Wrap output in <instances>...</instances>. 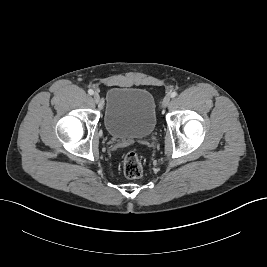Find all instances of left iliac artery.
<instances>
[{"instance_id":"obj_1","label":"left iliac artery","mask_w":267,"mask_h":267,"mask_svg":"<svg viewBox=\"0 0 267 267\" xmlns=\"http://www.w3.org/2000/svg\"><path fill=\"white\" fill-rule=\"evenodd\" d=\"M176 95H177V92H175V91H173V92L171 93V97H172V98H174Z\"/></svg>"}]
</instances>
